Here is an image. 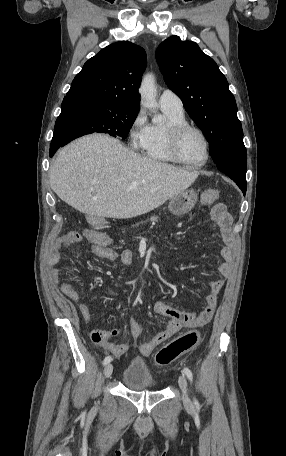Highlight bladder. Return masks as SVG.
I'll list each match as a JSON object with an SVG mask.
<instances>
[{
	"instance_id": "bladder-1",
	"label": "bladder",
	"mask_w": 286,
	"mask_h": 456,
	"mask_svg": "<svg viewBox=\"0 0 286 456\" xmlns=\"http://www.w3.org/2000/svg\"><path fill=\"white\" fill-rule=\"evenodd\" d=\"M123 385L131 390H153V377L144 363L133 361L122 376Z\"/></svg>"
}]
</instances>
